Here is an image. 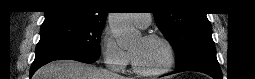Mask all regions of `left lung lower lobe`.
Instances as JSON below:
<instances>
[{"instance_id":"0a47b994","label":"left lung lower lobe","mask_w":255,"mask_h":79,"mask_svg":"<svg viewBox=\"0 0 255 79\" xmlns=\"http://www.w3.org/2000/svg\"><path fill=\"white\" fill-rule=\"evenodd\" d=\"M183 71L202 72L208 74L214 79H222L221 69L216 57H206L186 63L177 67V70L174 73Z\"/></svg>"}]
</instances>
